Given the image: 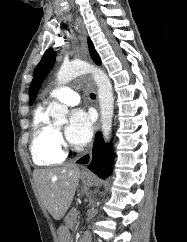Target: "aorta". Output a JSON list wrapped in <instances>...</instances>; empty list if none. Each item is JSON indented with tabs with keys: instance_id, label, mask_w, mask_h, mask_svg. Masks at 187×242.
Masks as SVG:
<instances>
[{
	"instance_id": "aorta-1",
	"label": "aorta",
	"mask_w": 187,
	"mask_h": 242,
	"mask_svg": "<svg viewBox=\"0 0 187 242\" xmlns=\"http://www.w3.org/2000/svg\"><path fill=\"white\" fill-rule=\"evenodd\" d=\"M88 73L92 74L98 87V97L101 108V129L105 142H108L112 131L114 98L112 84L107 74L100 68H97L87 62L73 61L61 66L57 73V81L60 85H62L79 75ZM67 113L68 108L66 106L55 101L50 104V116L55 120L64 119Z\"/></svg>"
}]
</instances>
